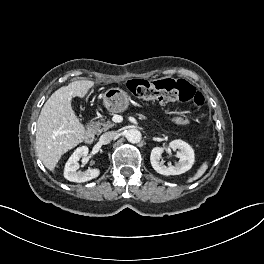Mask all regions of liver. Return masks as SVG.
<instances>
[{
    "instance_id": "liver-1",
    "label": "liver",
    "mask_w": 264,
    "mask_h": 264,
    "mask_svg": "<svg viewBox=\"0 0 264 264\" xmlns=\"http://www.w3.org/2000/svg\"><path fill=\"white\" fill-rule=\"evenodd\" d=\"M93 86V81H74L56 90L44 104L37 121L36 153L50 171L63 154L84 140L85 128L75 115L71 100L83 98Z\"/></svg>"
}]
</instances>
